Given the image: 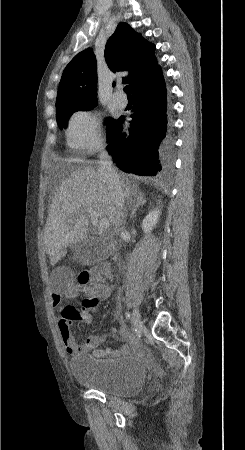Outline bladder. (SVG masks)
Instances as JSON below:
<instances>
[{"label":"bladder","instance_id":"bladder-1","mask_svg":"<svg viewBox=\"0 0 245 450\" xmlns=\"http://www.w3.org/2000/svg\"><path fill=\"white\" fill-rule=\"evenodd\" d=\"M71 372L78 384L107 395H137L145 381L142 361L130 355L95 358L83 356L70 360Z\"/></svg>","mask_w":245,"mask_h":450}]
</instances>
